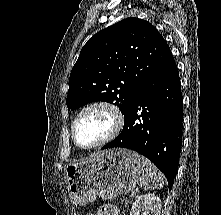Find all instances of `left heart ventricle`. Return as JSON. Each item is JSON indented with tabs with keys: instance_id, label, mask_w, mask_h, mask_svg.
I'll list each match as a JSON object with an SVG mask.
<instances>
[{
	"instance_id": "b2bd125f",
	"label": "left heart ventricle",
	"mask_w": 221,
	"mask_h": 215,
	"mask_svg": "<svg viewBox=\"0 0 221 215\" xmlns=\"http://www.w3.org/2000/svg\"><path fill=\"white\" fill-rule=\"evenodd\" d=\"M113 126L110 113L103 108L85 112L76 125V138L83 146H90L107 136Z\"/></svg>"
}]
</instances>
